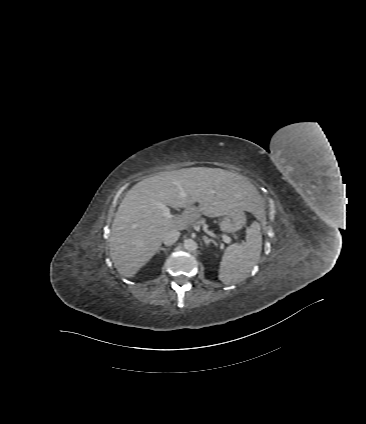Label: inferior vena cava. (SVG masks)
Here are the masks:
<instances>
[{
  "label": "inferior vena cava",
  "mask_w": 366,
  "mask_h": 424,
  "mask_svg": "<svg viewBox=\"0 0 366 424\" xmlns=\"http://www.w3.org/2000/svg\"><path fill=\"white\" fill-rule=\"evenodd\" d=\"M179 236H180L179 230L177 229L171 230L167 232L166 235L164 236L163 243L166 246H171L178 240Z\"/></svg>",
  "instance_id": "1"
}]
</instances>
